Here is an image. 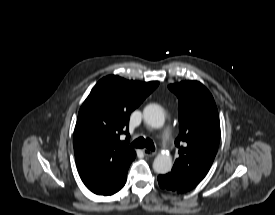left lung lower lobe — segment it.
<instances>
[{
	"label": "left lung lower lobe",
	"instance_id": "left-lung-lower-lobe-1",
	"mask_svg": "<svg viewBox=\"0 0 275 215\" xmlns=\"http://www.w3.org/2000/svg\"><path fill=\"white\" fill-rule=\"evenodd\" d=\"M200 180L187 176L177 169H172L166 175L158 176V183L161 188L176 193H184L193 189Z\"/></svg>",
	"mask_w": 275,
	"mask_h": 215
}]
</instances>
